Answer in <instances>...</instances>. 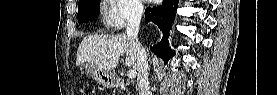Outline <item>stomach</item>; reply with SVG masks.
<instances>
[{
	"instance_id": "stomach-1",
	"label": "stomach",
	"mask_w": 277,
	"mask_h": 95,
	"mask_svg": "<svg viewBox=\"0 0 277 95\" xmlns=\"http://www.w3.org/2000/svg\"><path fill=\"white\" fill-rule=\"evenodd\" d=\"M84 68L87 74L100 85L105 87H113L115 86V77L111 72L104 71L99 69L93 64L84 63Z\"/></svg>"
}]
</instances>
